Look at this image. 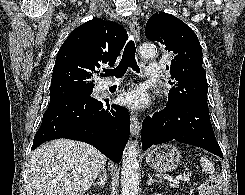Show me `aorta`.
Segmentation results:
<instances>
[{
	"label": "aorta",
	"instance_id": "aorta-1",
	"mask_svg": "<svg viewBox=\"0 0 245 195\" xmlns=\"http://www.w3.org/2000/svg\"><path fill=\"white\" fill-rule=\"evenodd\" d=\"M156 48L153 44H143L140 47V55L144 58H152L156 55ZM138 147L131 142L126 147L123 156L121 170L122 195H137L139 186V163Z\"/></svg>",
	"mask_w": 245,
	"mask_h": 195
}]
</instances>
